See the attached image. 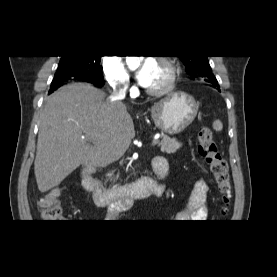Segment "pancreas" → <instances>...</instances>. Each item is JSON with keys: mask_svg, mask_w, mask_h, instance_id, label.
I'll list each match as a JSON object with an SVG mask.
<instances>
[{"mask_svg": "<svg viewBox=\"0 0 277 277\" xmlns=\"http://www.w3.org/2000/svg\"><path fill=\"white\" fill-rule=\"evenodd\" d=\"M158 146L160 147L161 152L172 154L175 153L178 149L181 148L182 144L178 142L175 138H170L168 136H163L161 142ZM109 177L112 176V173L108 174ZM118 178V175L116 179Z\"/></svg>", "mask_w": 277, "mask_h": 277, "instance_id": "obj_1", "label": "pancreas"}]
</instances>
